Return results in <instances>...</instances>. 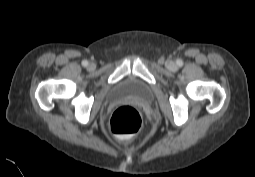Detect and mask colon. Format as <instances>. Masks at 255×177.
Masks as SVG:
<instances>
[{"label":"colon","instance_id":"obj_1","mask_svg":"<svg viewBox=\"0 0 255 177\" xmlns=\"http://www.w3.org/2000/svg\"><path fill=\"white\" fill-rule=\"evenodd\" d=\"M142 117L132 106H121L114 111L109 121L111 132L119 137H129L140 131Z\"/></svg>","mask_w":255,"mask_h":177}]
</instances>
